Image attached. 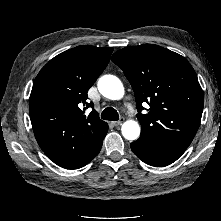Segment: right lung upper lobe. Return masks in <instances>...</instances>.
<instances>
[{
	"label": "right lung upper lobe",
	"instance_id": "obj_1",
	"mask_svg": "<svg viewBox=\"0 0 221 221\" xmlns=\"http://www.w3.org/2000/svg\"><path fill=\"white\" fill-rule=\"evenodd\" d=\"M112 47L82 45L51 59L37 75L30 119L43 152L57 165L78 169L94 156L108 124L99 119L87 92L107 66ZM93 110L85 114L86 108Z\"/></svg>",
	"mask_w": 221,
	"mask_h": 221
}]
</instances>
